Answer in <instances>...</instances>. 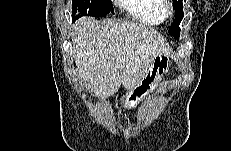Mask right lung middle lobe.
Listing matches in <instances>:
<instances>
[{
  "instance_id": "obj_1",
  "label": "right lung middle lobe",
  "mask_w": 231,
  "mask_h": 151,
  "mask_svg": "<svg viewBox=\"0 0 231 151\" xmlns=\"http://www.w3.org/2000/svg\"><path fill=\"white\" fill-rule=\"evenodd\" d=\"M72 17L78 19L81 16L105 17L114 14L111 0H73ZM75 14H77L75 16Z\"/></svg>"
}]
</instances>
